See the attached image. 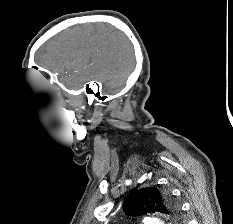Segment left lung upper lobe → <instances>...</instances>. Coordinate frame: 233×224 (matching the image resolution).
<instances>
[{"mask_svg": "<svg viewBox=\"0 0 233 224\" xmlns=\"http://www.w3.org/2000/svg\"><path fill=\"white\" fill-rule=\"evenodd\" d=\"M128 215L137 216L150 212L168 215L173 223L180 221L179 206L167 192L148 187L128 195L123 203Z\"/></svg>", "mask_w": 233, "mask_h": 224, "instance_id": "obj_1", "label": "left lung upper lobe"}]
</instances>
